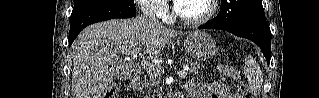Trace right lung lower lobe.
Masks as SVG:
<instances>
[{"label": "right lung lower lobe", "instance_id": "obj_1", "mask_svg": "<svg viewBox=\"0 0 319 98\" xmlns=\"http://www.w3.org/2000/svg\"><path fill=\"white\" fill-rule=\"evenodd\" d=\"M136 8L115 2L89 3L75 6L71 14L69 46L86 26L112 18H131Z\"/></svg>", "mask_w": 319, "mask_h": 98}]
</instances>
